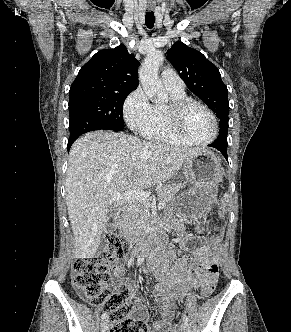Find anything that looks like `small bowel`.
Listing matches in <instances>:
<instances>
[{
	"label": "small bowel",
	"instance_id": "small-bowel-1",
	"mask_svg": "<svg viewBox=\"0 0 291 332\" xmlns=\"http://www.w3.org/2000/svg\"><path fill=\"white\" fill-rule=\"evenodd\" d=\"M196 227L199 232H202L199 224H196ZM174 231L177 235V243L185 245L188 238L184 225L176 224ZM221 239L222 230L220 228H217L212 235L201 236L199 240L202 245L194 250L189 257L178 254L175 249H163L161 257L143 269L145 273L153 272L156 278L155 296L161 305L160 318L150 330L145 323L146 307L143 300L137 297V307L132 319L141 323L146 332H174L172 329L173 300L184 297L192 288L203 287L216 275L217 257L215 249ZM173 259L175 260L172 261ZM189 259L193 262L190 265H188ZM114 272L116 278L120 279L123 269L120 265H117Z\"/></svg>",
	"mask_w": 291,
	"mask_h": 332
}]
</instances>
